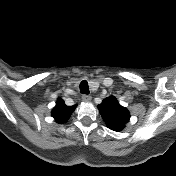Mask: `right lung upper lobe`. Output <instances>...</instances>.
I'll use <instances>...</instances> for the list:
<instances>
[{"label": "right lung upper lobe", "instance_id": "obj_1", "mask_svg": "<svg viewBox=\"0 0 176 176\" xmlns=\"http://www.w3.org/2000/svg\"><path fill=\"white\" fill-rule=\"evenodd\" d=\"M75 107L76 105L67 106L61 98H58L56 106L52 111V116L58 123L62 124L69 119Z\"/></svg>", "mask_w": 176, "mask_h": 176}]
</instances>
